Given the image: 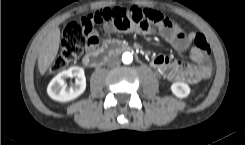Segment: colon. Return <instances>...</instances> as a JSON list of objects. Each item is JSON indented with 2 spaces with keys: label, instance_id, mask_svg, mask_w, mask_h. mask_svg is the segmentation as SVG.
Returning <instances> with one entry per match:
<instances>
[{
  "label": "colon",
  "instance_id": "obj_1",
  "mask_svg": "<svg viewBox=\"0 0 245 145\" xmlns=\"http://www.w3.org/2000/svg\"><path fill=\"white\" fill-rule=\"evenodd\" d=\"M104 21L110 22L114 27L122 31H149L157 25H173V21L160 12L136 6L105 8L95 12L91 18L71 20L64 27L60 52L50 66L49 72H58L66 68L83 52L84 48L95 49L99 45L100 39L97 34L92 33V23ZM193 44L203 56L210 54V45L202 34L194 36ZM207 75L208 70L206 69L204 76Z\"/></svg>",
  "mask_w": 245,
  "mask_h": 145
}]
</instances>
